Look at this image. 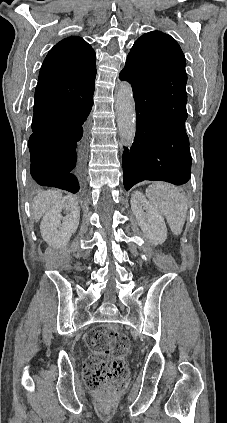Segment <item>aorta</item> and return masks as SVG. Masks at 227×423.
Masks as SVG:
<instances>
[{
	"label": "aorta",
	"mask_w": 227,
	"mask_h": 423,
	"mask_svg": "<svg viewBox=\"0 0 227 423\" xmlns=\"http://www.w3.org/2000/svg\"><path fill=\"white\" fill-rule=\"evenodd\" d=\"M115 107L120 138L126 145H131L136 133V114L132 87L128 82H120Z\"/></svg>",
	"instance_id": "1"
}]
</instances>
